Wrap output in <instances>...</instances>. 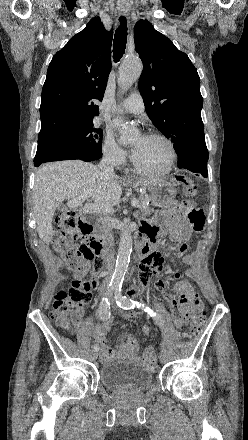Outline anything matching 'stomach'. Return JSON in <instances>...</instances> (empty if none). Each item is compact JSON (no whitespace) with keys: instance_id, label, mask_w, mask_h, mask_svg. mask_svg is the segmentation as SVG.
Listing matches in <instances>:
<instances>
[{"instance_id":"obj_1","label":"stomach","mask_w":248,"mask_h":440,"mask_svg":"<svg viewBox=\"0 0 248 440\" xmlns=\"http://www.w3.org/2000/svg\"><path fill=\"white\" fill-rule=\"evenodd\" d=\"M134 186L142 190V196H146L154 206L164 207L171 203L176 197V189L168 182L159 181L152 183H134ZM148 193V194H146ZM106 229L105 225L101 226Z\"/></svg>"}]
</instances>
